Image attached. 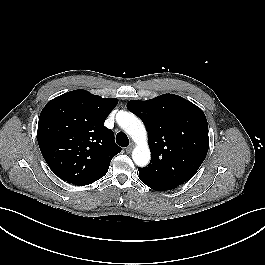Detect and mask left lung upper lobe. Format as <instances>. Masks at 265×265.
<instances>
[{"instance_id": "left-lung-upper-lobe-1", "label": "left lung upper lobe", "mask_w": 265, "mask_h": 265, "mask_svg": "<svg viewBox=\"0 0 265 265\" xmlns=\"http://www.w3.org/2000/svg\"><path fill=\"white\" fill-rule=\"evenodd\" d=\"M148 131L151 161L138 168L139 176L166 189H174L193 177L209 148L208 124L203 111L174 94L147 101H129Z\"/></svg>"}]
</instances>
